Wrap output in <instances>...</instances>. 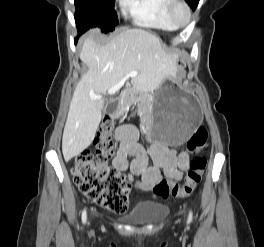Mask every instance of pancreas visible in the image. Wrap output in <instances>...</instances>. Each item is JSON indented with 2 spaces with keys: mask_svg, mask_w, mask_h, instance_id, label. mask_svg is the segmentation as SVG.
I'll list each match as a JSON object with an SVG mask.
<instances>
[{
  "mask_svg": "<svg viewBox=\"0 0 264 247\" xmlns=\"http://www.w3.org/2000/svg\"><path fill=\"white\" fill-rule=\"evenodd\" d=\"M138 90L136 88L130 89L125 92L120 102L119 107L117 108L116 112L113 114V118H119L123 116L124 113L127 111L128 106L134 104L138 100Z\"/></svg>",
  "mask_w": 264,
  "mask_h": 247,
  "instance_id": "cf45deb5",
  "label": "pancreas"
}]
</instances>
